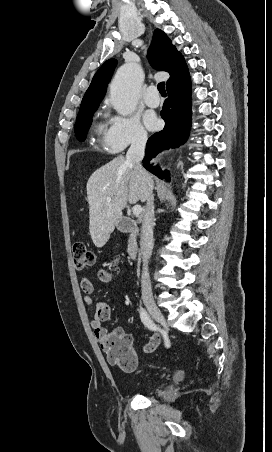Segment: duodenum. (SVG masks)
I'll list each match as a JSON object with an SVG mask.
<instances>
[{
    "instance_id": "duodenum-1",
    "label": "duodenum",
    "mask_w": 272,
    "mask_h": 452,
    "mask_svg": "<svg viewBox=\"0 0 272 452\" xmlns=\"http://www.w3.org/2000/svg\"><path fill=\"white\" fill-rule=\"evenodd\" d=\"M120 230L130 235L126 251L130 259H136L139 253V226L137 222L123 216L120 221Z\"/></svg>"
}]
</instances>
